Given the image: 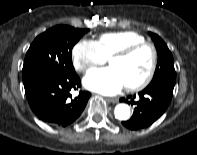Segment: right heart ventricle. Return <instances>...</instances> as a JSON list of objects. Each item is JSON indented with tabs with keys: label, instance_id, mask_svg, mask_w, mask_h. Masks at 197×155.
<instances>
[{
	"label": "right heart ventricle",
	"instance_id": "1",
	"mask_svg": "<svg viewBox=\"0 0 197 155\" xmlns=\"http://www.w3.org/2000/svg\"><path fill=\"white\" fill-rule=\"evenodd\" d=\"M141 42H145L144 36L131 30L106 32L101 34L97 40L107 58L128 45Z\"/></svg>",
	"mask_w": 197,
	"mask_h": 155
}]
</instances>
